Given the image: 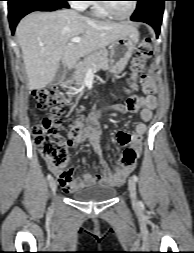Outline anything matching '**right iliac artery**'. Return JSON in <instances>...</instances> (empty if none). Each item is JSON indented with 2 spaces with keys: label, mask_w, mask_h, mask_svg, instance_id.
Wrapping results in <instances>:
<instances>
[{
  "label": "right iliac artery",
  "mask_w": 194,
  "mask_h": 253,
  "mask_svg": "<svg viewBox=\"0 0 194 253\" xmlns=\"http://www.w3.org/2000/svg\"><path fill=\"white\" fill-rule=\"evenodd\" d=\"M47 179H48V180H51V179H52V175H51V174H48Z\"/></svg>",
  "instance_id": "82829eb1"
}]
</instances>
